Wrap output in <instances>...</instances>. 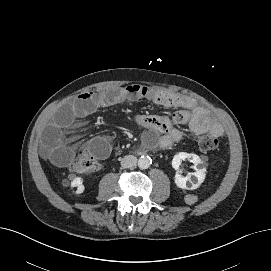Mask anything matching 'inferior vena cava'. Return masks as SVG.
Returning a JSON list of instances; mask_svg holds the SVG:
<instances>
[{
    "label": "inferior vena cava",
    "instance_id": "obj_1",
    "mask_svg": "<svg viewBox=\"0 0 271 271\" xmlns=\"http://www.w3.org/2000/svg\"><path fill=\"white\" fill-rule=\"evenodd\" d=\"M137 163V158L133 155H126L121 160V166L123 168H131Z\"/></svg>",
    "mask_w": 271,
    "mask_h": 271
}]
</instances>
